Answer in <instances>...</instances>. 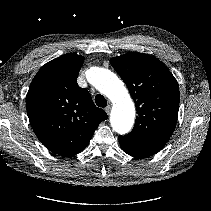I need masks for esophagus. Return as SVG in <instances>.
I'll return each mask as SVG.
<instances>
[{
  "label": "esophagus",
  "mask_w": 211,
  "mask_h": 211,
  "mask_svg": "<svg viewBox=\"0 0 211 211\" xmlns=\"http://www.w3.org/2000/svg\"><path fill=\"white\" fill-rule=\"evenodd\" d=\"M110 110H111V106L110 105L105 108V111H106L107 114L110 113Z\"/></svg>",
  "instance_id": "obj_1"
}]
</instances>
